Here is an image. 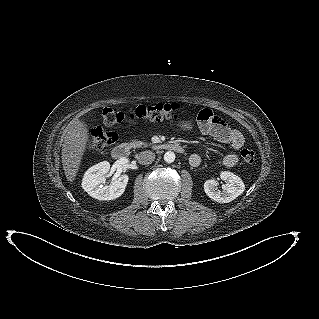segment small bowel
Returning a JSON list of instances; mask_svg holds the SVG:
<instances>
[{
  "label": "small bowel",
  "instance_id": "obj_1",
  "mask_svg": "<svg viewBox=\"0 0 319 319\" xmlns=\"http://www.w3.org/2000/svg\"><path fill=\"white\" fill-rule=\"evenodd\" d=\"M201 112H203V117L198 118L197 125L203 133L229 145L234 151H238L244 146L245 138L239 130L231 128L223 119L213 114L210 110H202ZM178 126L184 130H192L194 128V124L190 121H182ZM238 160L236 153H229L223 158V165L225 167H233L238 163ZM201 162L202 158L199 154H192L189 158V163L193 167L199 166Z\"/></svg>",
  "mask_w": 319,
  "mask_h": 319
}]
</instances>
